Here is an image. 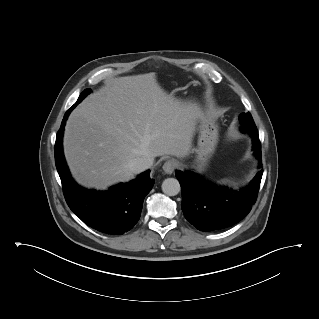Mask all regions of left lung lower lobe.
<instances>
[{"label": "left lung lower lobe", "instance_id": "1", "mask_svg": "<svg viewBox=\"0 0 319 319\" xmlns=\"http://www.w3.org/2000/svg\"><path fill=\"white\" fill-rule=\"evenodd\" d=\"M242 132L253 138L254 154L259 158L261 143L256 127L241 126ZM263 170L257 172L251 183L238 191L217 187L191 171H176L182 189V210L185 218L201 231L230 227L243 219L255 203Z\"/></svg>", "mask_w": 319, "mask_h": 319}]
</instances>
